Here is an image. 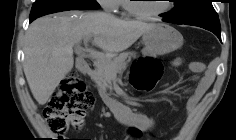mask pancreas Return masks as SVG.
<instances>
[{
    "label": "pancreas",
    "instance_id": "pancreas-1",
    "mask_svg": "<svg viewBox=\"0 0 236 140\" xmlns=\"http://www.w3.org/2000/svg\"><path fill=\"white\" fill-rule=\"evenodd\" d=\"M131 57H135V54L122 53L113 60L107 59L105 62L96 61L94 63L95 69L91 73V78L100 89L112 90L111 81L113 77L126 69Z\"/></svg>",
    "mask_w": 236,
    "mask_h": 140
}]
</instances>
